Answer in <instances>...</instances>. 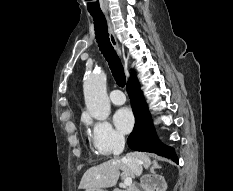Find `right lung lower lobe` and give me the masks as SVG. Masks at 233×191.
Masks as SVG:
<instances>
[{
  "instance_id": "right-lung-lower-lobe-1",
  "label": "right lung lower lobe",
  "mask_w": 233,
  "mask_h": 191,
  "mask_svg": "<svg viewBox=\"0 0 233 191\" xmlns=\"http://www.w3.org/2000/svg\"><path fill=\"white\" fill-rule=\"evenodd\" d=\"M127 91L132 102L136 121L133 132L127 139L128 146L136 151L152 152L165 156L178 163L173 148L160 143L155 134L148 107L135 76L128 81Z\"/></svg>"
}]
</instances>
